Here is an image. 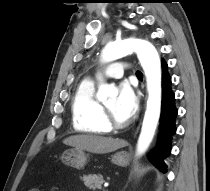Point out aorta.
I'll list each match as a JSON object with an SVG mask.
<instances>
[{"label": "aorta", "mask_w": 210, "mask_h": 191, "mask_svg": "<svg viewBox=\"0 0 210 191\" xmlns=\"http://www.w3.org/2000/svg\"><path fill=\"white\" fill-rule=\"evenodd\" d=\"M132 52L137 54L144 70L148 100L142 123L141 133L137 143V155H142L153 140L161 113V62L155 47L148 41L127 38L109 42L101 53V61L108 63L120 59ZM118 89L114 85L100 84L96 94L99 101H106L110 96H117Z\"/></svg>", "instance_id": "aorta-1"}]
</instances>
